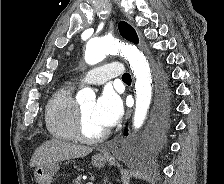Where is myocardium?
<instances>
[{
	"label": "myocardium",
	"mask_w": 224,
	"mask_h": 184,
	"mask_svg": "<svg viewBox=\"0 0 224 184\" xmlns=\"http://www.w3.org/2000/svg\"><path fill=\"white\" fill-rule=\"evenodd\" d=\"M74 129H75L76 139L81 142L89 143V144L102 142L108 137V134H109V132L105 130L96 136H89L85 132V129H84V116H83L82 107L81 105H78V104H77L76 114H75Z\"/></svg>",
	"instance_id": "1"
}]
</instances>
